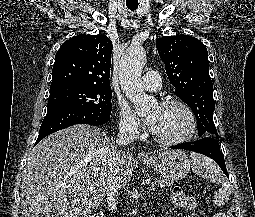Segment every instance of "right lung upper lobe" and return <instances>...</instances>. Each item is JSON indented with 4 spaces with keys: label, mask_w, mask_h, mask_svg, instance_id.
I'll return each instance as SVG.
<instances>
[{
    "label": "right lung upper lobe",
    "mask_w": 255,
    "mask_h": 217,
    "mask_svg": "<svg viewBox=\"0 0 255 217\" xmlns=\"http://www.w3.org/2000/svg\"><path fill=\"white\" fill-rule=\"evenodd\" d=\"M113 45L104 35H77L65 41L55 55L50 87L81 84L110 87Z\"/></svg>",
    "instance_id": "obj_1"
}]
</instances>
